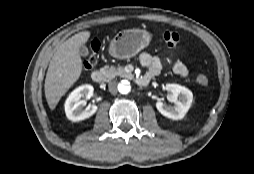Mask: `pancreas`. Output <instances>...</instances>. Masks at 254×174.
<instances>
[{
	"instance_id": "1",
	"label": "pancreas",
	"mask_w": 254,
	"mask_h": 174,
	"mask_svg": "<svg viewBox=\"0 0 254 174\" xmlns=\"http://www.w3.org/2000/svg\"><path fill=\"white\" fill-rule=\"evenodd\" d=\"M101 72L105 74L108 79L115 78L116 76L129 77L131 74L127 73L123 67L104 66Z\"/></svg>"
}]
</instances>
